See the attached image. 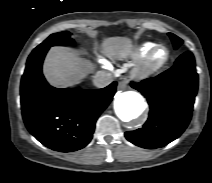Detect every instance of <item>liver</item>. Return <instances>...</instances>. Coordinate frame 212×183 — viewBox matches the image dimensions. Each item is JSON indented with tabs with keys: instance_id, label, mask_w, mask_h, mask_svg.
Listing matches in <instances>:
<instances>
[{
	"instance_id": "liver-1",
	"label": "liver",
	"mask_w": 212,
	"mask_h": 183,
	"mask_svg": "<svg viewBox=\"0 0 212 183\" xmlns=\"http://www.w3.org/2000/svg\"><path fill=\"white\" fill-rule=\"evenodd\" d=\"M108 54L124 58L131 52V42L127 38H108L103 43ZM90 62L83 60L78 54L65 47H53L47 54L43 73L48 83L57 88L77 85L92 70Z\"/></svg>"
}]
</instances>
